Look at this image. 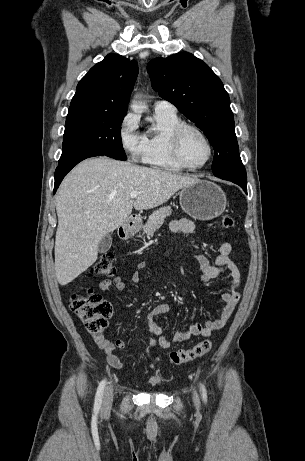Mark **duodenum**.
Returning a JSON list of instances; mask_svg holds the SVG:
<instances>
[{
	"mask_svg": "<svg viewBox=\"0 0 305 461\" xmlns=\"http://www.w3.org/2000/svg\"><path fill=\"white\" fill-rule=\"evenodd\" d=\"M137 220L134 218L127 219L120 228V236L128 238L136 227Z\"/></svg>",
	"mask_w": 305,
	"mask_h": 461,
	"instance_id": "1",
	"label": "duodenum"
}]
</instances>
